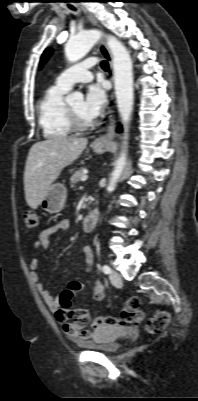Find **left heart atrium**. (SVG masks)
Wrapping results in <instances>:
<instances>
[{
	"label": "left heart atrium",
	"mask_w": 198,
	"mask_h": 401,
	"mask_svg": "<svg viewBox=\"0 0 198 401\" xmlns=\"http://www.w3.org/2000/svg\"><path fill=\"white\" fill-rule=\"evenodd\" d=\"M106 104V92L102 84H92L87 88L83 101L84 113L90 119L97 118Z\"/></svg>",
	"instance_id": "1"
}]
</instances>
